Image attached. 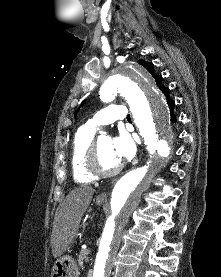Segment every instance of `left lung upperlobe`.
Wrapping results in <instances>:
<instances>
[{"mask_svg": "<svg viewBox=\"0 0 221 277\" xmlns=\"http://www.w3.org/2000/svg\"><path fill=\"white\" fill-rule=\"evenodd\" d=\"M139 63L141 65H143L152 75L153 77L155 78V81L159 87L160 90H163L165 87L162 85V77L161 76H158L154 73V70H153V64L152 63H148V62H145V61H142L140 60ZM85 103V101L81 104V106ZM79 110V109H78ZM78 110L76 112H78Z\"/></svg>", "mask_w": 221, "mask_h": 277, "instance_id": "5c2ea615", "label": "left lung upper lobe"}]
</instances>
